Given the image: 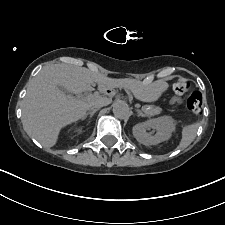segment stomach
I'll use <instances>...</instances> for the list:
<instances>
[{
  "label": "stomach",
  "instance_id": "stomach-1",
  "mask_svg": "<svg viewBox=\"0 0 225 225\" xmlns=\"http://www.w3.org/2000/svg\"><path fill=\"white\" fill-rule=\"evenodd\" d=\"M163 89L164 88L162 87V88H159V89H153L151 91H148L147 92V96H146V100L147 101H155V100H157V98L160 96V94H161Z\"/></svg>",
  "mask_w": 225,
  "mask_h": 225
}]
</instances>
